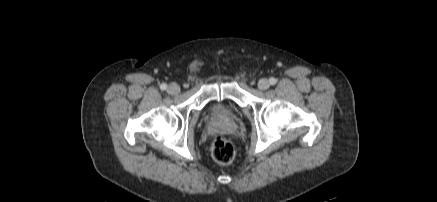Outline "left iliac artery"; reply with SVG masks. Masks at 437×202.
Returning a JSON list of instances; mask_svg holds the SVG:
<instances>
[{"mask_svg": "<svg viewBox=\"0 0 437 202\" xmlns=\"http://www.w3.org/2000/svg\"><path fill=\"white\" fill-rule=\"evenodd\" d=\"M269 82H270V84L274 85V84H276L277 80L275 78L271 77L269 79Z\"/></svg>", "mask_w": 437, "mask_h": 202, "instance_id": "44dca946", "label": "left iliac artery"}]
</instances>
